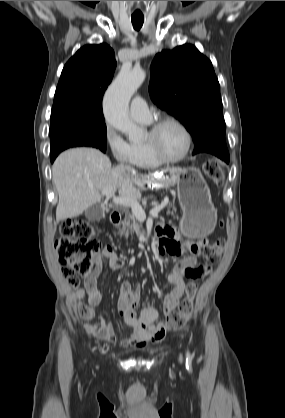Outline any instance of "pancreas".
<instances>
[{
  "mask_svg": "<svg viewBox=\"0 0 285 418\" xmlns=\"http://www.w3.org/2000/svg\"><path fill=\"white\" fill-rule=\"evenodd\" d=\"M168 208L172 209V211L176 210L174 204H169ZM134 232L137 234V236H140L143 233L142 225H140L137 222L136 217L133 213H126L124 220L121 222V225L119 226L118 233L120 234V236H125L127 238L129 234Z\"/></svg>",
  "mask_w": 285,
  "mask_h": 418,
  "instance_id": "obj_1",
  "label": "pancreas"
}]
</instances>
